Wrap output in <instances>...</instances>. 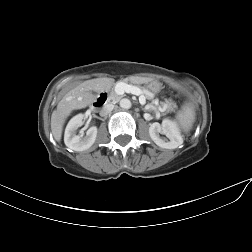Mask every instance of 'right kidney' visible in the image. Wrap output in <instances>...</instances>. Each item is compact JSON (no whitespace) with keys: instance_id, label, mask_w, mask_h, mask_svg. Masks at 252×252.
I'll use <instances>...</instances> for the list:
<instances>
[{"instance_id":"right-kidney-1","label":"right kidney","mask_w":252,"mask_h":252,"mask_svg":"<svg viewBox=\"0 0 252 252\" xmlns=\"http://www.w3.org/2000/svg\"><path fill=\"white\" fill-rule=\"evenodd\" d=\"M84 120L85 116L83 114H78L69 121L65 129V145L74 151H83L90 148L97 137L96 126L89 128L84 137L76 134V130L83 125Z\"/></svg>"}]
</instances>
